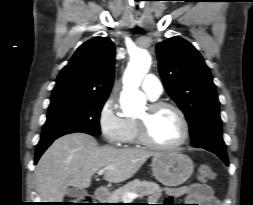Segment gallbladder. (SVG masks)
Returning <instances> with one entry per match:
<instances>
[{
    "instance_id": "bac80fb5",
    "label": "gallbladder",
    "mask_w": 253,
    "mask_h": 205,
    "mask_svg": "<svg viewBox=\"0 0 253 205\" xmlns=\"http://www.w3.org/2000/svg\"><path fill=\"white\" fill-rule=\"evenodd\" d=\"M66 195L73 198H82L87 195V191L85 189L69 188Z\"/></svg>"
}]
</instances>
